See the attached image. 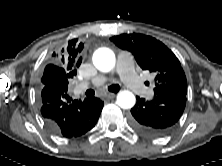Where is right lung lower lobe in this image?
Instances as JSON below:
<instances>
[{"instance_id": "98d812e1", "label": "right lung lower lobe", "mask_w": 222, "mask_h": 166, "mask_svg": "<svg viewBox=\"0 0 222 166\" xmlns=\"http://www.w3.org/2000/svg\"><path fill=\"white\" fill-rule=\"evenodd\" d=\"M40 100L46 126L65 138L78 137L92 129L104 105L98 98L72 101L66 92L51 86L43 87Z\"/></svg>"}]
</instances>
